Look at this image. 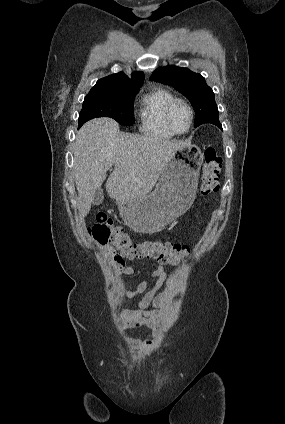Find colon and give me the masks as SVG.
Returning a JSON list of instances; mask_svg holds the SVG:
<instances>
[{"instance_id":"colon-1","label":"colon","mask_w":285,"mask_h":424,"mask_svg":"<svg viewBox=\"0 0 285 424\" xmlns=\"http://www.w3.org/2000/svg\"><path fill=\"white\" fill-rule=\"evenodd\" d=\"M203 157L199 190L202 195L209 196L219 191L222 158L213 148H206ZM88 233L101 245L105 258L115 270H120L125 260L151 258L161 264H178L190 254L188 246L178 243L157 240L135 242L104 215L97 216Z\"/></svg>"}]
</instances>
